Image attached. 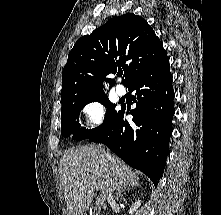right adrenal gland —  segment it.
Wrapping results in <instances>:
<instances>
[{"mask_svg":"<svg viewBox=\"0 0 221 215\" xmlns=\"http://www.w3.org/2000/svg\"><path fill=\"white\" fill-rule=\"evenodd\" d=\"M138 185H139V184L136 183L135 185L132 184L131 186L126 187V188H120V189H117V192H116V198L118 199V198L123 197V194H125L126 189H127V190H130L132 187H134V186H138Z\"/></svg>","mask_w":221,"mask_h":215,"instance_id":"1","label":"right adrenal gland"}]
</instances>
